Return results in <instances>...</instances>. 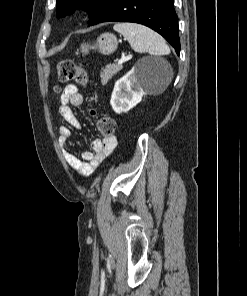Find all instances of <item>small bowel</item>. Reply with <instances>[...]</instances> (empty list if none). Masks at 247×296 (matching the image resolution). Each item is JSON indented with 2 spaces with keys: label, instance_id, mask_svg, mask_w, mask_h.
I'll return each instance as SVG.
<instances>
[{
  "label": "small bowel",
  "instance_id": "1",
  "mask_svg": "<svg viewBox=\"0 0 247 296\" xmlns=\"http://www.w3.org/2000/svg\"><path fill=\"white\" fill-rule=\"evenodd\" d=\"M84 102V96L74 84L67 85L61 93V102L57 108L58 115L70 126L81 129V124L73 111ZM71 138L70 128L61 126L58 129V142L62 148L63 155L68 165L81 177L90 176L94 170L109 156L116 147V137L109 139H95L91 142V150L82 153L78 158L68 149Z\"/></svg>",
  "mask_w": 247,
  "mask_h": 296
}]
</instances>
